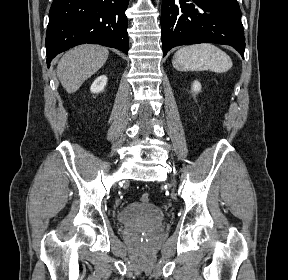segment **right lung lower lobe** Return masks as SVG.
Listing matches in <instances>:
<instances>
[{"mask_svg":"<svg viewBox=\"0 0 288 280\" xmlns=\"http://www.w3.org/2000/svg\"><path fill=\"white\" fill-rule=\"evenodd\" d=\"M129 0H54L46 31L47 65L67 49L84 43L129 50Z\"/></svg>","mask_w":288,"mask_h":280,"instance_id":"98d812e1","label":"right lung lower lobe"}]
</instances>
